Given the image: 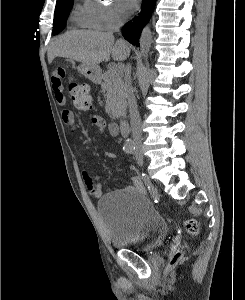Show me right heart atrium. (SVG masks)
<instances>
[{
  "label": "right heart atrium",
  "instance_id": "right-heart-atrium-1",
  "mask_svg": "<svg viewBox=\"0 0 245 300\" xmlns=\"http://www.w3.org/2000/svg\"><path fill=\"white\" fill-rule=\"evenodd\" d=\"M85 6L90 12L96 27L100 29H112L123 18L120 6L113 1L85 0Z\"/></svg>",
  "mask_w": 245,
  "mask_h": 300
}]
</instances>
